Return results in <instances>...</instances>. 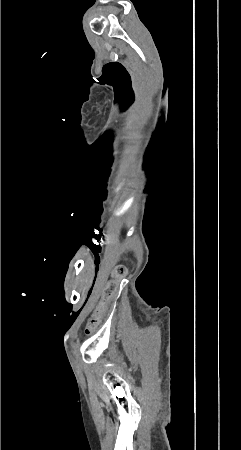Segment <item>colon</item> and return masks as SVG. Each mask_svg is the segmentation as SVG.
Returning <instances> with one entry per match:
<instances>
[{
    "label": "colon",
    "mask_w": 241,
    "mask_h": 450,
    "mask_svg": "<svg viewBox=\"0 0 241 450\" xmlns=\"http://www.w3.org/2000/svg\"><path fill=\"white\" fill-rule=\"evenodd\" d=\"M127 273V269L124 265L118 264L113 272L112 280L107 281V285L103 290L102 297L99 298V302L95 306L94 313L88 320L86 326V333L91 334L95 331L99 324V320L101 317L105 316L106 311L108 310V306L111 305L113 301L114 294L117 293L118 288V279L125 277Z\"/></svg>",
    "instance_id": "obj_1"
}]
</instances>
